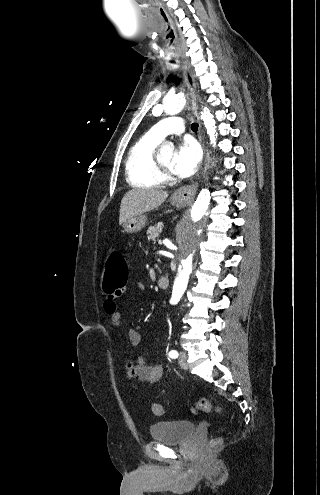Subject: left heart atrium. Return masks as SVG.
Wrapping results in <instances>:
<instances>
[{
	"label": "left heart atrium",
	"instance_id": "1",
	"mask_svg": "<svg viewBox=\"0 0 320 495\" xmlns=\"http://www.w3.org/2000/svg\"><path fill=\"white\" fill-rule=\"evenodd\" d=\"M201 152L198 144L186 139L178 147L174 154L171 171L182 178L189 177L195 173L199 165Z\"/></svg>",
	"mask_w": 320,
	"mask_h": 495
}]
</instances>
